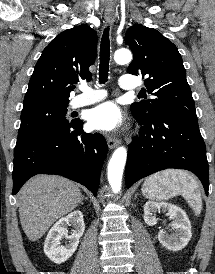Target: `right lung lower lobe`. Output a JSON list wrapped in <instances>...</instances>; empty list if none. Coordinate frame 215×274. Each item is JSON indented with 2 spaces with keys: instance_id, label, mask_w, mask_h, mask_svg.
I'll return each instance as SVG.
<instances>
[{
  "instance_id": "right-lung-lower-lobe-1",
  "label": "right lung lower lobe",
  "mask_w": 215,
  "mask_h": 274,
  "mask_svg": "<svg viewBox=\"0 0 215 274\" xmlns=\"http://www.w3.org/2000/svg\"><path fill=\"white\" fill-rule=\"evenodd\" d=\"M82 124L74 121L14 154L13 194L36 174H57L84 185L96 196L108 146L101 134L85 133Z\"/></svg>"
}]
</instances>
